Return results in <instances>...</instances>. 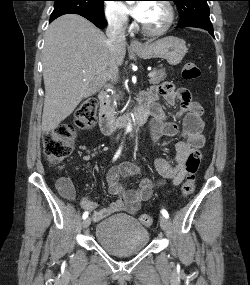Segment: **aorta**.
<instances>
[{
    "instance_id": "aorta-1",
    "label": "aorta",
    "mask_w": 250,
    "mask_h": 285,
    "mask_svg": "<svg viewBox=\"0 0 250 285\" xmlns=\"http://www.w3.org/2000/svg\"><path fill=\"white\" fill-rule=\"evenodd\" d=\"M127 131H131V126L130 125L127 127Z\"/></svg>"
}]
</instances>
